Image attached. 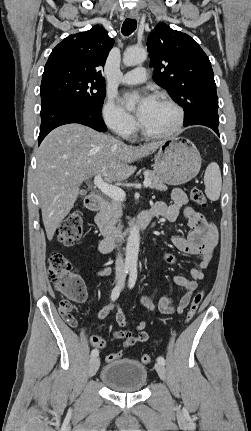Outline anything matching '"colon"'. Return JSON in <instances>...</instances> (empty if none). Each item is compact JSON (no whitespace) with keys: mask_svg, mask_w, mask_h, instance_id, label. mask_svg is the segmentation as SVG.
<instances>
[{"mask_svg":"<svg viewBox=\"0 0 251 431\" xmlns=\"http://www.w3.org/2000/svg\"><path fill=\"white\" fill-rule=\"evenodd\" d=\"M191 199L201 207L207 206V199L203 194V191L194 187L190 191ZM82 235V213L78 210L71 212L65 220L60 224L57 229V239L64 246H72L76 244ZM48 272L52 279L56 289L66 295L69 300H62L59 305V311L63 319L71 327H75L77 322L71 315L72 303L71 301L82 302L86 298L85 286L80 277L75 273L71 262L61 253L53 252L50 254L48 259ZM203 299V292H198L189 307L186 314V321H191L199 305ZM91 344V350H96L98 347L99 351L105 350V340L99 336H92L89 339ZM121 357V353H108L105 359L106 365H111L112 362H117L118 358ZM141 361L144 364L151 362V356L144 354L141 357Z\"/></svg>","mask_w":251,"mask_h":431,"instance_id":"colon-1","label":"colon"}]
</instances>
